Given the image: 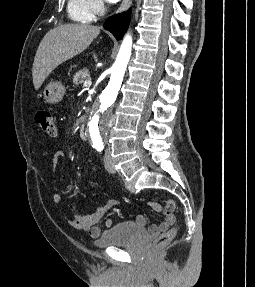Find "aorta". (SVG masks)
<instances>
[{"instance_id":"aorta-1","label":"aorta","mask_w":255,"mask_h":287,"mask_svg":"<svg viewBox=\"0 0 255 287\" xmlns=\"http://www.w3.org/2000/svg\"><path fill=\"white\" fill-rule=\"evenodd\" d=\"M131 50L132 37L127 34L121 44L117 58L111 67L110 81L90 113L87 123V136L95 147H102L105 144L109 112L115 103L122 84L126 66L131 56Z\"/></svg>"}]
</instances>
